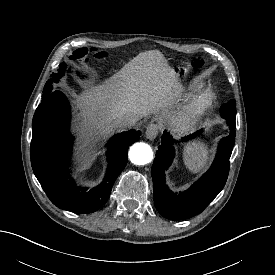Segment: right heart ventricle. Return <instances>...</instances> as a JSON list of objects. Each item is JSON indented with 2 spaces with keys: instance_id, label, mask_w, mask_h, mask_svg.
Listing matches in <instances>:
<instances>
[{
  "instance_id": "e07e8e85",
  "label": "right heart ventricle",
  "mask_w": 275,
  "mask_h": 275,
  "mask_svg": "<svg viewBox=\"0 0 275 275\" xmlns=\"http://www.w3.org/2000/svg\"><path fill=\"white\" fill-rule=\"evenodd\" d=\"M199 87H200V85L194 84V85H191V86H190V89H196V88H199Z\"/></svg>"
}]
</instances>
